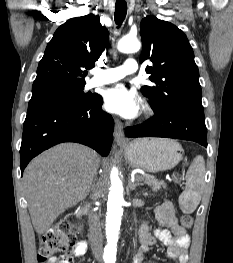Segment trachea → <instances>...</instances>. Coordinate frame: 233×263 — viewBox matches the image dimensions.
<instances>
[{
    "instance_id": "obj_1",
    "label": "trachea",
    "mask_w": 233,
    "mask_h": 263,
    "mask_svg": "<svg viewBox=\"0 0 233 263\" xmlns=\"http://www.w3.org/2000/svg\"><path fill=\"white\" fill-rule=\"evenodd\" d=\"M127 13V4L125 1L117 0L115 4V23L120 27Z\"/></svg>"
}]
</instances>
